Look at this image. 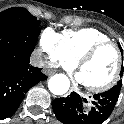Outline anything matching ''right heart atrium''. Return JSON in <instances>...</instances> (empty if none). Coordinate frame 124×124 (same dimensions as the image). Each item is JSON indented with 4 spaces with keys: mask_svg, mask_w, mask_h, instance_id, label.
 Segmentation results:
<instances>
[{
    "mask_svg": "<svg viewBox=\"0 0 124 124\" xmlns=\"http://www.w3.org/2000/svg\"><path fill=\"white\" fill-rule=\"evenodd\" d=\"M39 47L42 52L47 54L49 62L52 64L61 65L67 70L75 66V63L66 56L63 50L61 35L52 28L42 31L39 37Z\"/></svg>",
    "mask_w": 124,
    "mask_h": 124,
    "instance_id": "d8ad5b80",
    "label": "right heart atrium"
}]
</instances>
